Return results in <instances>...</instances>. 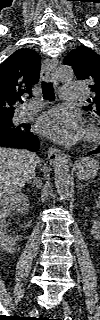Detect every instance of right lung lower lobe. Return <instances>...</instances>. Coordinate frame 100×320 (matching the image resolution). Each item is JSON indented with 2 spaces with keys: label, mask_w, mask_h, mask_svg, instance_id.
<instances>
[{
  "label": "right lung lower lobe",
  "mask_w": 100,
  "mask_h": 320,
  "mask_svg": "<svg viewBox=\"0 0 100 320\" xmlns=\"http://www.w3.org/2000/svg\"><path fill=\"white\" fill-rule=\"evenodd\" d=\"M0 145L36 151L40 146V142L37 136L30 132L29 127L28 130L22 133H0Z\"/></svg>",
  "instance_id": "right-lung-lower-lobe-1"
}]
</instances>
